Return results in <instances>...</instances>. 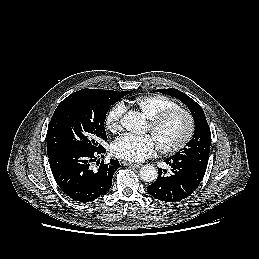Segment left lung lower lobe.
<instances>
[{
	"mask_svg": "<svg viewBox=\"0 0 259 259\" xmlns=\"http://www.w3.org/2000/svg\"><path fill=\"white\" fill-rule=\"evenodd\" d=\"M165 162L172 168L171 175L164 177L159 169L157 180L147 187L148 193L165 202H177L187 198L199 186L206 169L185 159L170 157Z\"/></svg>",
	"mask_w": 259,
	"mask_h": 259,
	"instance_id": "obj_1",
	"label": "left lung lower lobe"
}]
</instances>
